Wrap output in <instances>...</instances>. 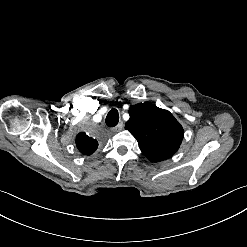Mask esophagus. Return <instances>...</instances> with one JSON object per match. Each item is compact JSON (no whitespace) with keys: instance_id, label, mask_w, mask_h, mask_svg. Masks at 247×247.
I'll use <instances>...</instances> for the list:
<instances>
[{"instance_id":"esophagus-1","label":"esophagus","mask_w":247,"mask_h":247,"mask_svg":"<svg viewBox=\"0 0 247 247\" xmlns=\"http://www.w3.org/2000/svg\"><path fill=\"white\" fill-rule=\"evenodd\" d=\"M123 128V122L121 121L119 124H117V126H115L112 130L114 132H119L120 130H122Z\"/></svg>"}]
</instances>
